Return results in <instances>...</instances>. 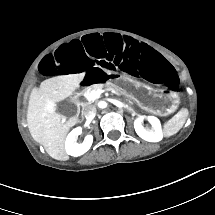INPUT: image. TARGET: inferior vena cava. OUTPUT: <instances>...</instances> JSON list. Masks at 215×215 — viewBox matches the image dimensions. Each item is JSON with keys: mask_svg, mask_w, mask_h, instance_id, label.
Listing matches in <instances>:
<instances>
[{"mask_svg": "<svg viewBox=\"0 0 215 215\" xmlns=\"http://www.w3.org/2000/svg\"><path fill=\"white\" fill-rule=\"evenodd\" d=\"M96 106L89 104L86 105L83 109H82V114L85 116L86 119H94V117L96 116Z\"/></svg>", "mask_w": 215, "mask_h": 215, "instance_id": "inferior-vena-cava-1", "label": "inferior vena cava"}]
</instances>
